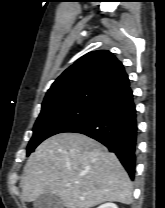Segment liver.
<instances>
[{"label":"liver","instance_id":"6515ba94","mask_svg":"<svg viewBox=\"0 0 165 208\" xmlns=\"http://www.w3.org/2000/svg\"><path fill=\"white\" fill-rule=\"evenodd\" d=\"M22 198L56 194L67 208H92L115 201L131 204L132 183L114 153L80 133H60L30 155L21 180Z\"/></svg>","mask_w":165,"mask_h":208}]
</instances>
